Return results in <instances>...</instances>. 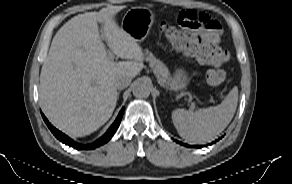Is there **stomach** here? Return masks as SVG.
<instances>
[{
	"label": "stomach",
	"instance_id": "1",
	"mask_svg": "<svg viewBox=\"0 0 292 184\" xmlns=\"http://www.w3.org/2000/svg\"><path fill=\"white\" fill-rule=\"evenodd\" d=\"M154 21L155 14L150 9L132 7L125 13L121 28L137 42H141L147 37ZM187 80L186 72L183 69H178L172 79V89H183L187 84Z\"/></svg>",
	"mask_w": 292,
	"mask_h": 184
}]
</instances>
